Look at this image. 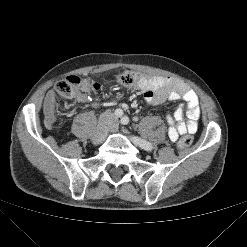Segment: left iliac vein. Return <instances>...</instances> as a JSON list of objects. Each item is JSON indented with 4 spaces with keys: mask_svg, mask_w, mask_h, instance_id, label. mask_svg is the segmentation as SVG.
Instances as JSON below:
<instances>
[{
    "mask_svg": "<svg viewBox=\"0 0 247 247\" xmlns=\"http://www.w3.org/2000/svg\"><path fill=\"white\" fill-rule=\"evenodd\" d=\"M110 131H111V132H116V131H118V123H117V121H115V122L113 123V125H112L111 128H110ZM123 133H125V134L127 135V137H128L134 144L138 145V142H137V140L134 138V136L128 135L127 131L124 130V129H123Z\"/></svg>",
    "mask_w": 247,
    "mask_h": 247,
    "instance_id": "4c4485c4",
    "label": "left iliac vein"
}]
</instances>
